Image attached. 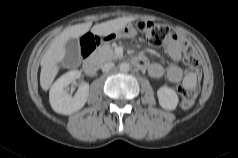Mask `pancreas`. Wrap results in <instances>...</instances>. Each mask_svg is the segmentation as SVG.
Instances as JSON below:
<instances>
[{
  "label": "pancreas",
  "instance_id": "pancreas-1",
  "mask_svg": "<svg viewBox=\"0 0 238 158\" xmlns=\"http://www.w3.org/2000/svg\"><path fill=\"white\" fill-rule=\"evenodd\" d=\"M92 58L98 63H103L109 60L120 59L122 56L117 55L109 44H104L92 54Z\"/></svg>",
  "mask_w": 238,
  "mask_h": 158
}]
</instances>
